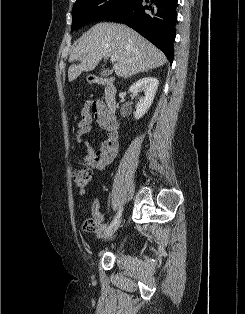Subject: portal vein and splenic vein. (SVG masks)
<instances>
[{
  "mask_svg": "<svg viewBox=\"0 0 245 314\" xmlns=\"http://www.w3.org/2000/svg\"><path fill=\"white\" fill-rule=\"evenodd\" d=\"M117 57L116 56H111V58H110V60L112 61V62H116L117 61Z\"/></svg>",
  "mask_w": 245,
  "mask_h": 314,
  "instance_id": "18ae733b",
  "label": "portal vein and splenic vein"
}]
</instances>
